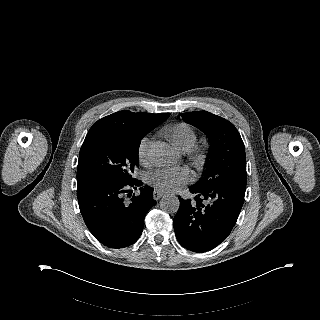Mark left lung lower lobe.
<instances>
[{"instance_id":"0a47b994","label":"left lung lower lobe","mask_w":320,"mask_h":320,"mask_svg":"<svg viewBox=\"0 0 320 320\" xmlns=\"http://www.w3.org/2000/svg\"><path fill=\"white\" fill-rule=\"evenodd\" d=\"M193 199H182L173 225L179 243L194 252L218 246L231 232L241 211L246 184L229 181L212 189L189 188Z\"/></svg>"}]
</instances>
